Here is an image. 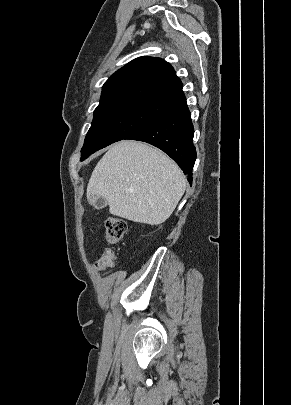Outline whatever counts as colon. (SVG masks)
<instances>
[{"mask_svg": "<svg viewBox=\"0 0 291 405\" xmlns=\"http://www.w3.org/2000/svg\"><path fill=\"white\" fill-rule=\"evenodd\" d=\"M106 239L110 244H116L121 241L126 234V222L116 216H109L105 220ZM116 253L111 248H106L95 266L100 271L111 269L116 261Z\"/></svg>", "mask_w": 291, "mask_h": 405, "instance_id": "1", "label": "colon"}]
</instances>
